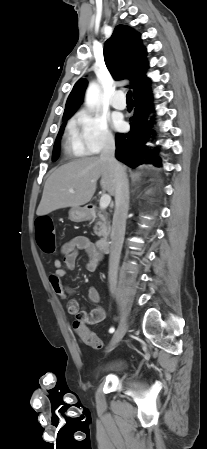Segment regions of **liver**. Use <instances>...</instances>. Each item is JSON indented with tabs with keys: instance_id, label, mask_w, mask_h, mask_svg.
I'll return each mask as SVG.
<instances>
[{
	"instance_id": "1",
	"label": "liver",
	"mask_w": 207,
	"mask_h": 449,
	"mask_svg": "<svg viewBox=\"0 0 207 449\" xmlns=\"http://www.w3.org/2000/svg\"><path fill=\"white\" fill-rule=\"evenodd\" d=\"M100 177L102 190L115 195L114 172L107 161L87 157L60 166L47 179L36 214L43 216L61 208L88 203Z\"/></svg>"
}]
</instances>
